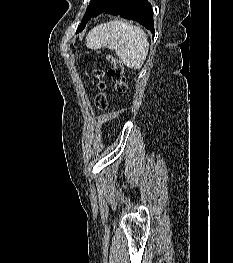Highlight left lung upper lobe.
Instances as JSON below:
<instances>
[{
	"instance_id": "obj_1",
	"label": "left lung upper lobe",
	"mask_w": 233,
	"mask_h": 263,
	"mask_svg": "<svg viewBox=\"0 0 233 263\" xmlns=\"http://www.w3.org/2000/svg\"><path fill=\"white\" fill-rule=\"evenodd\" d=\"M116 0H91L90 4L86 10V13L78 27V31H81L86 26L87 22L91 17L98 15L105 11L110 5H112Z\"/></svg>"
}]
</instances>
